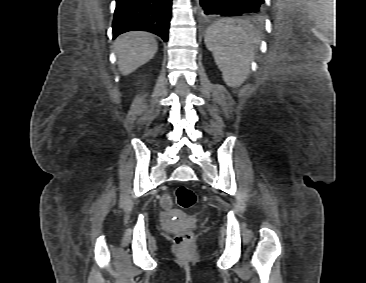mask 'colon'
<instances>
[{
  "label": "colon",
  "instance_id": "5ec220e1",
  "mask_svg": "<svg viewBox=\"0 0 366 283\" xmlns=\"http://www.w3.org/2000/svg\"><path fill=\"white\" fill-rule=\"evenodd\" d=\"M175 201L183 208H189L196 202V195L192 189L187 186H179L175 190ZM174 240L180 247L186 245L191 238V233L187 228H177L172 230Z\"/></svg>",
  "mask_w": 366,
  "mask_h": 283
}]
</instances>
